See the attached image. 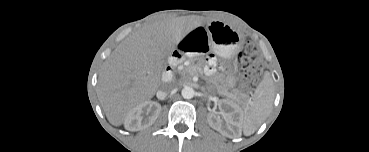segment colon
<instances>
[{
	"label": "colon",
	"mask_w": 369,
	"mask_h": 152,
	"mask_svg": "<svg viewBox=\"0 0 369 152\" xmlns=\"http://www.w3.org/2000/svg\"><path fill=\"white\" fill-rule=\"evenodd\" d=\"M237 64L242 70L241 81L244 87L254 88L262 78L264 66L253 45L247 44L245 49L239 53Z\"/></svg>",
	"instance_id": "colon-1"
}]
</instances>
